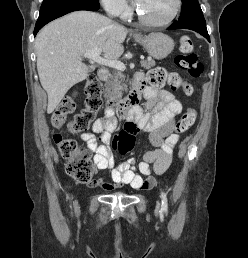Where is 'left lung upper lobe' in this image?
Here are the masks:
<instances>
[{"instance_id":"obj_1","label":"left lung upper lobe","mask_w":248,"mask_h":258,"mask_svg":"<svg viewBox=\"0 0 248 258\" xmlns=\"http://www.w3.org/2000/svg\"><path fill=\"white\" fill-rule=\"evenodd\" d=\"M183 10L179 17V23H185L192 19L202 18L203 13L198 0H182Z\"/></svg>"}]
</instances>
